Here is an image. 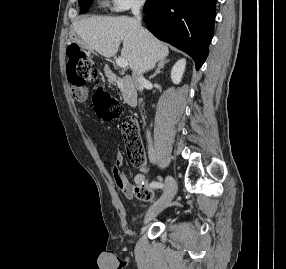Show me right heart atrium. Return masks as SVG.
Segmentation results:
<instances>
[{"label":"right heart atrium","instance_id":"obj_1","mask_svg":"<svg viewBox=\"0 0 286 269\" xmlns=\"http://www.w3.org/2000/svg\"><path fill=\"white\" fill-rule=\"evenodd\" d=\"M146 0H107L108 6L115 12L137 9L144 5Z\"/></svg>","mask_w":286,"mask_h":269}]
</instances>
